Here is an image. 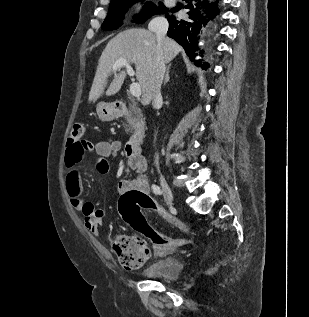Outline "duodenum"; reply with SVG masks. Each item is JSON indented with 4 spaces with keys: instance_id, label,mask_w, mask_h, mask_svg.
I'll use <instances>...</instances> for the list:
<instances>
[{
    "instance_id": "duodenum-1",
    "label": "duodenum",
    "mask_w": 309,
    "mask_h": 317,
    "mask_svg": "<svg viewBox=\"0 0 309 317\" xmlns=\"http://www.w3.org/2000/svg\"><path fill=\"white\" fill-rule=\"evenodd\" d=\"M117 116L128 115L129 111L124 103H117L114 107ZM143 134L138 132L130 138L125 146V153L128 157H135L141 154Z\"/></svg>"
}]
</instances>
